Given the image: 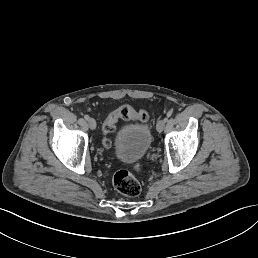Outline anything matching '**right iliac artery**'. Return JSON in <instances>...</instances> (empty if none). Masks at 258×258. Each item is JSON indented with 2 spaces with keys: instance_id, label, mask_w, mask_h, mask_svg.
<instances>
[{
  "instance_id": "right-iliac-artery-1",
  "label": "right iliac artery",
  "mask_w": 258,
  "mask_h": 258,
  "mask_svg": "<svg viewBox=\"0 0 258 258\" xmlns=\"http://www.w3.org/2000/svg\"><path fill=\"white\" fill-rule=\"evenodd\" d=\"M84 119L85 120H89V116L88 115H84Z\"/></svg>"
}]
</instances>
